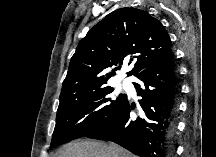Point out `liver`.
I'll return each instance as SVG.
<instances>
[{
  "mask_svg": "<svg viewBox=\"0 0 216 157\" xmlns=\"http://www.w3.org/2000/svg\"><path fill=\"white\" fill-rule=\"evenodd\" d=\"M54 157H134L114 143L101 141L73 142L62 147Z\"/></svg>",
  "mask_w": 216,
  "mask_h": 157,
  "instance_id": "6515ba94",
  "label": "liver"
}]
</instances>
